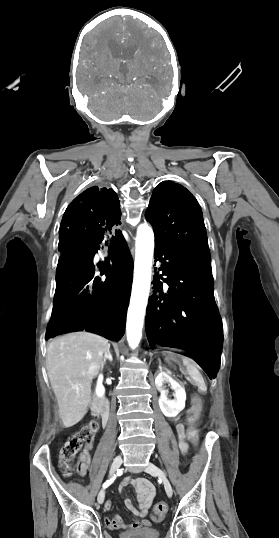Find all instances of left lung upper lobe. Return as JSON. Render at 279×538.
<instances>
[{"label": "left lung upper lobe", "mask_w": 279, "mask_h": 538, "mask_svg": "<svg viewBox=\"0 0 279 538\" xmlns=\"http://www.w3.org/2000/svg\"><path fill=\"white\" fill-rule=\"evenodd\" d=\"M145 217L153 226L156 244L183 253L210 255L201 208L185 187L161 182L153 191Z\"/></svg>", "instance_id": "left-lung-upper-lobe-1"}]
</instances>
